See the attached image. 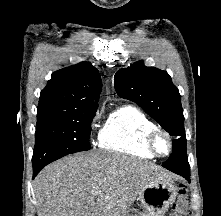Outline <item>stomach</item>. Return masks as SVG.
Segmentation results:
<instances>
[{
	"instance_id": "0dacf381",
	"label": "stomach",
	"mask_w": 221,
	"mask_h": 216,
	"mask_svg": "<svg viewBox=\"0 0 221 216\" xmlns=\"http://www.w3.org/2000/svg\"><path fill=\"white\" fill-rule=\"evenodd\" d=\"M177 188L171 179H154L139 192L142 211H128L123 216H164L176 200Z\"/></svg>"
}]
</instances>
